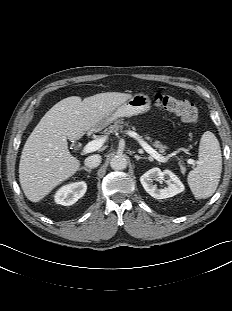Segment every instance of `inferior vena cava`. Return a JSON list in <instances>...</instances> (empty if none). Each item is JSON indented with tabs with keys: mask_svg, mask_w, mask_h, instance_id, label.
Wrapping results in <instances>:
<instances>
[{
	"mask_svg": "<svg viewBox=\"0 0 232 311\" xmlns=\"http://www.w3.org/2000/svg\"><path fill=\"white\" fill-rule=\"evenodd\" d=\"M101 160H102L101 156L96 154V155L87 157L84 161V164L86 167L92 169V168L98 167L101 163Z\"/></svg>",
	"mask_w": 232,
	"mask_h": 311,
	"instance_id": "inferior-vena-cava-1",
	"label": "inferior vena cava"
}]
</instances>
